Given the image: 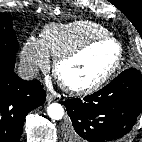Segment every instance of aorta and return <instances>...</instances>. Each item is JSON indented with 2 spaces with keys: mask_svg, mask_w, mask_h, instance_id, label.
<instances>
[{
  "mask_svg": "<svg viewBox=\"0 0 142 142\" xmlns=\"http://www.w3.org/2000/svg\"><path fill=\"white\" fill-rule=\"evenodd\" d=\"M48 116L53 120H60L64 115V109L59 103H52L47 107Z\"/></svg>",
  "mask_w": 142,
  "mask_h": 142,
  "instance_id": "1",
  "label": "aorta"
}]
</instances>
